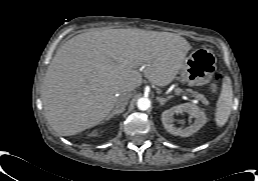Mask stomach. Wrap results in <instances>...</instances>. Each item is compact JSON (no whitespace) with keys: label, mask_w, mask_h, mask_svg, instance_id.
<instances>
[{"label":"stomach","mask_w":258,"mask_h":181,"mask_svg":"<svg viewBox=\"0 0 258 181\" xmlns=\"http://www.w3.org/2000/svg\"><path fill=\"white\" fill-rule=\"evenodd\" d=\"M215 54L206 48H198L185 59L179 71L182 81L190 86H201L208 83L217 70Z\"/></svg>","instance_id":"obj_1"}]
</instances>
